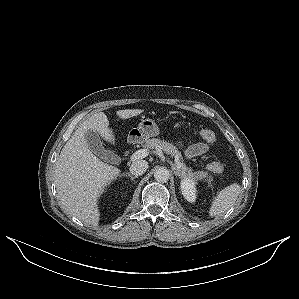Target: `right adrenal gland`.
Here are the masks:
<instances>
[{
  "label": "right adrenal gland",
  "instance_id": "1",
  "mask_svg": "<svg viewBox=\"0 0 299 299\" xmlns=\"http://www.w3.org/2000/svg\"><path fill=\"white\" fill-rule=\"evenodd\" d=\"M123 176H126V177H130V179L133 181L134 179H136L138 176H133L132 174H130V173H126V174H124Z\"/></svg>",
  "mask_w": 299,
  "mask_h": 299
}]
</instances>
